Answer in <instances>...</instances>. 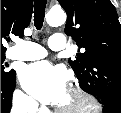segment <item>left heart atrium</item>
Here are the masks:
<instances>
[{
    "instance_id": "left-heart-atrium-1",
    "label": "left heart atrium",
    "mask_w": 121,
    "mask_h": 113,
    "mask_svg": "<svg viewBox=\"0 0 121 113\" xmlns=\"http://www.w3.org/2000/svg\"><path fill=\"white\" fill-rule=\"evenodd\" d=\"M20 80L24 89L43 103L58 105L66 93L65 73L47 62L27 66Z\"/></svg>"
}]
</instances>
